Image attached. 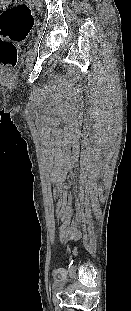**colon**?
<instances>
[{"instance_id":"1","label":"colon","mask_w":131,"mask_h":311,"mask_svg":"<svg viewBox=\"0 0 131 311\" xmlns=\"http://www.w3.org/2000/svg\"><path fill=\"white\" fill-rule=\"evenodd\" d=\"M34 23L31 9L15 0H0V69L9 70L17 61L15 43L23 41Z\"/></svg>"}]
</instances>
